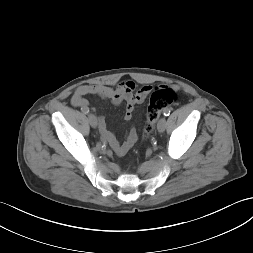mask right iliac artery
<instances>
[{
    "instance_id": "obj_1",
    "label": "right iliac artery",
    "mask_w": 253,
    "mask_h": 253,
    "mask_svg": "<svg viewBox=\"0 0 253 253\" xmlns=\"http://www.w3.org/2000/svg\"><path fill=\"white\" fill-rule=\"evenodd\" d=\"M83 112H84L85 114H88V113H89V109H85V110H83Z\"/></svg>"
}]
</instances>
